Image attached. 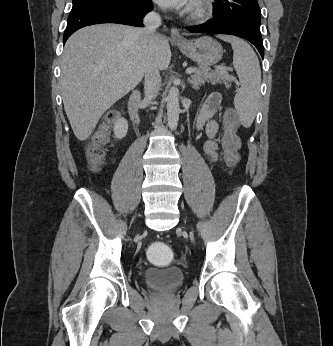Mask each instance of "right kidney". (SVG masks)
<instances>
[{"mask_svg":"<svg viewBox=\"0 0 333 346\" xmlns=\"http://www.w3.org/2000/svg\"><path fill=\"white\" fill-rule=\"evenodd\" d=\"M128 131V122L124 118H119L114 124V135L117 139H122L126 136Z\"/></svg>","mask_w":333,"mask_h":346,"instance_id":"right-kidney-1","label":"right kidney"}]
</instances>
